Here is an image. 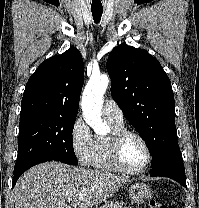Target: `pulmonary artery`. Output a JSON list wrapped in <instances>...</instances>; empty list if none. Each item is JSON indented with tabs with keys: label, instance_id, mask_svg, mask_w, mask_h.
<instances>
[{
	"label": "pulmonary artery",
	"instance_id": "obj_1",
	"mask_svg": "<svg viewBox=\"0 0 199 208\" xmlns=\"http://www.w3.org/2000/svg\"><path fill=\"white\" fill-rule=\"evenodd\" d=\"M102 113L107 120L117 124L124 123V115L121 108L111 99H106L104 101Z\"/></svg>",
	"mask_w": 199,
	"mask_h": 208
}]
</instances>
